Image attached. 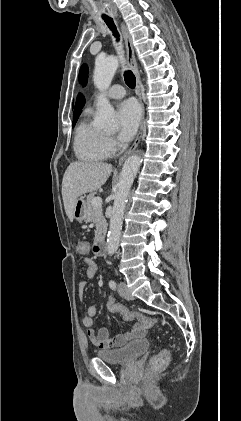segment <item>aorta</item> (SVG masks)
<instances>
[{"mask_svg":"<svg viewBox=\"0 0 241 421\" xmlns=\"http://www.w3.org/2000/svg\"><path fill=\"white\" fill-rule=\"evenodd\" d=\"M117 68L118 59L115 56H109L104 59L96 60L93 81L100 91H105L109 88ZM95 125L101 129H114L117 126L114 108L104 97L99 100V113L95 118ZM140 164L141 157L138 154H133L128 157L123 165L118 183V190L114 197L113 209L110 216V226L107 239V252L109 255H113L119 247L122 220L128 194Z\"/></svg>","mask_w":241,"mask_h":421,"instance_id":"obj_1","label":"aorta"}]
</instances>
